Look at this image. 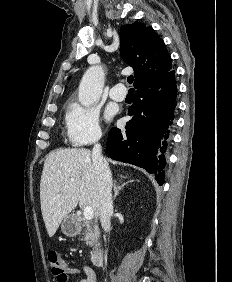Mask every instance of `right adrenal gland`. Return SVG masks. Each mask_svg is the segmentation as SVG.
I'll use <instances>...</instances> for the list:
<instances>
[{"label": "right adrenal gland", "instance_id": "right-adrenal-gland-1", "mask_svg": "<svg viewBox=\"0 0 232 282\" xmlns=\"http://www.w3.org/2000/svg\"><path fill=\"white\" fill-rule=\"evenodd\" d=\"M121 178H125V177L121 176ZM133 181L134 180H130V181L126 182V183H123L121 186H118L117 185V181L114 180V187H113L114 188L113 189L114 190V195H113V199L114 200L116 199L117 195L119 194V191L122 190L125 185H127L128 183L133 182Z\"/></svg>", "mask_w": 232, "mask_h": 282}]
</instances>
